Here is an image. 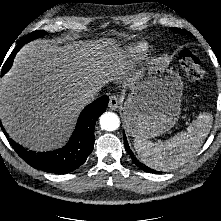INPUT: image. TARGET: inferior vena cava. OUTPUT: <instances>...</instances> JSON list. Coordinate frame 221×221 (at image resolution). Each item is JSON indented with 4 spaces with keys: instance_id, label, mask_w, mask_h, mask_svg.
<instances>
[{
    "instance_id": "inferior-vena-cava-1",
    "label": "inferior vena cava",
    "mask_w": 221,
    "mask_h": 221,
    "mask_svg": "<svg viewBox=\"0 0 221 221\" xmlns=\"http://www.w3.org/2000/svg\"><path fill=\"white\" fill-rule=\"evenodd\" d=\"M98 90L99 89L92 88L81 91L77 96L78 101L82 104H88L92 102L98 96Z\"/></svg>"
}]
</instances>
